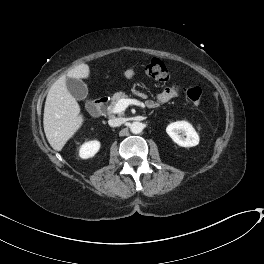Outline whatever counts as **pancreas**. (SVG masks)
Returning <instances> with one entry per match:
<instances>
[{
	"instance_id": "obj_1",
	"label": "pancreas",
	"mask_w": 264,
	"mask_h": 264,
	"mask_svg": "<svg viewBox=\"0 0 264 264\" xmlns=\"http://www.w3.org/2000/svg\"><path fill=\"white\" fill-rule=\"evenodd\" d=\"M128 96L124 92H116L111 98V104L108 107L109 112H112L113 108L120 99L127 98Z\"/></svg>"
}]
</instances>
